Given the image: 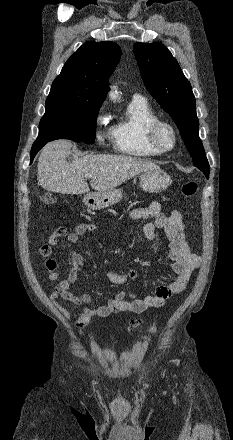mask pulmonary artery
<instances>
[{"label": "pulmonary artery", "instance_id": "pulmonary-artery-1", "mask_svg": "<svg viewBox=\"0 0 233 440\" xmlns=\"http://www.w3.org/2000/svg\"><path fill=\"white\" fill-rule=\"evenodd\" d=\"M133 99L136 100H145L144 96L140 95V94H134L133 95Z\"/></svg>", "mask_w": 233, "mask_h": 440}]
</instances>
